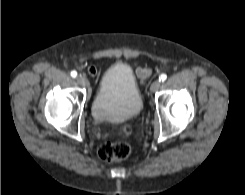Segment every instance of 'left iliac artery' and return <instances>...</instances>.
<instances>
[{
    "instance_id": "44dca946",
    "label": "left iliac artery",
    "mask_w": 245,
    "mask_h": 195,
    "mask_svg": "<svg viewBox=\"0 0 245 195\" xmlns=\"http://www.w3.org/2000/svg\"><path fill=\"white\" fill-rule=\"evenodd\" d=\"M167 79V75L166 74H162L160 77H159V80L160 81H165Z\"/></svg>"
}]
</instances>
